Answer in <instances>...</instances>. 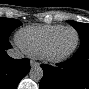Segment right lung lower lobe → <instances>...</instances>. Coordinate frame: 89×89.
Instances as JSON below:
<instances>
[{"label":"right lung lower lobe","mask_w":89,"mask_h":89,"mask_svg":"<svg viewBox=\"0 0 89 89\" xmlns=\"http://www.w3.org/2000/svg\"><path fill=\"white\" fill-rule=\"evenodd\" d=\"M11 48L8 39H0V89H16L17 85L30 70V60H15L6 50Z\"/></svg>","instance_id":"1"}]
</instances>
